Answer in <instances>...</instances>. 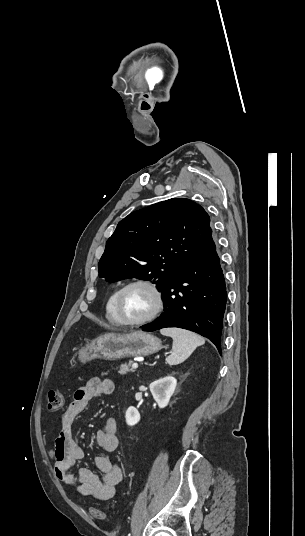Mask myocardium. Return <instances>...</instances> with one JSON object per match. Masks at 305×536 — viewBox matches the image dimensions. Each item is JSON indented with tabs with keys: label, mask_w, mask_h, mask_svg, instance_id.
Returning a JSON list of instances; mask_svg holds the SVG:
<instances>
[{
	"label": "myocardium",
	"mask_w": 305,
	"mask_h": 536,
	"mask_svg": "<svg viewBox=\"0 0 305 536\" xmlns=\"http://www.w3.org/2000/svg\"><path fill=\"white\" fill-rule=\"evenodd\" d=\"M135 285H142L147 287L154 295L155 305L153 310L143 319L138 321H126L122 315V298L125 291ZM115 315L119 321V325L127 328H138L146 325L155 319L162 311L164 307V295L160 286L153 280L147 278H134L126 282L117 292L115 298Z\"/></svg>",
	"instance_id": "1"
}]
</instances>
